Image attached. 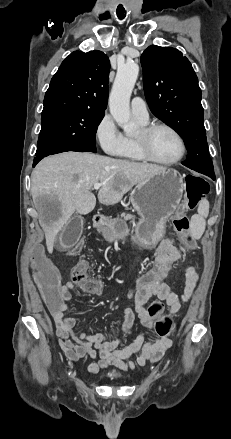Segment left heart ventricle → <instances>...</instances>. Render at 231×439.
<instances>
[{
    "label": "left heart ventricle",
    "instance_id": "1",
    "mask_svg": "<svg viewBox=\"0 0 231 439\" xmlns=\"http://www.w3.org/2000/svg\"><path fill=\"white\" fill-rule=\"evenodd\" d=\"M149 148L152 155L161 161L175 159L180 151L176 137L165 129H159L152 133L149 137Z\"/></svg>",
    "mask_w": 231,
    "mask_h": 439
}]
</instances>
